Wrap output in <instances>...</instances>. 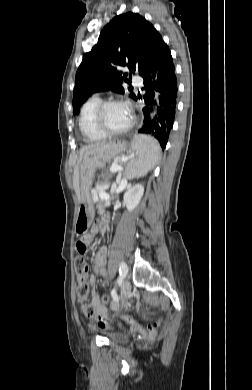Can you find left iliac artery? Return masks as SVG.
Wrapping results in <instances>:
<instances>
[{
  "label": "left iliac artery",
  "mask_w": 252,
  "mask_h": 390,
  "mask_svg": "<svg viewBox=\"0 0 252 390\" xmlns=\"http://www.w3.org/2000/svg\"><path fill=\"white\" fill-rule=\"evenodd\" d=\"M127 272H128V268H127L126 263L121 262L119 264V278L117 280V283L122 282V280L126 277ZM111 296H112L113 300H118V296H117L115 288L111 291Z\"/></svg>",
  "instance_id": "1"
}]
</instances>
